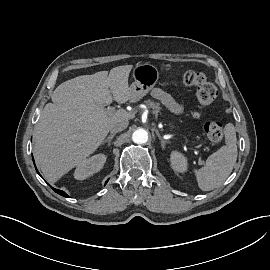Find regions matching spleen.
I'll use <instances>...</instances> for the list:
<instances>
[{"label": "spleen", "instance_id": "obj_1", "mask_svg": "<svg viewBox=\"0 0 270 270\" xmlns=\"http://www.w3.org/2000/svg\"><path fill=\"white\" fill-rule=\"evenodd\" d=\"M225 142L226 145L207 158L204 167L194 171L198 186L203 191L217 188L233 170L238 151L236 132L232 124L225 127Z\"/></svg>", "mask_w": 270, "mask_h": 270}]
</instances>
